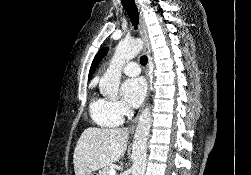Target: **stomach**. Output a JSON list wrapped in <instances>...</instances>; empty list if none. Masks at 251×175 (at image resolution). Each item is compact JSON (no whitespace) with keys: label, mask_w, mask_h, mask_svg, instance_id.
<instances>
[{"label":"stomach","mask_w":251,"mask_h":175,"mask_svg":"<svg viewBox=\"0 0 251 175\" xmlns=\"http://www.w3.org/2000/svg\"><path fill=\"white\" fill-rule=\"evenodd\" d=\"M92 175H97V173H92Z\"/></svg>","instance_id":"1"}]
</instances>
